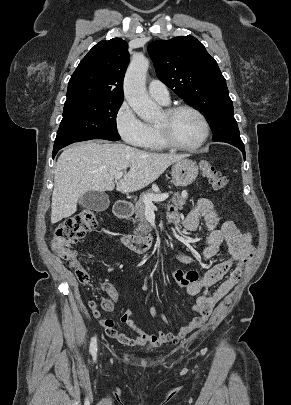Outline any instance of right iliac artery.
Instances as JSON below:
<instances>
[{"label": "right iliac artery", "instance_id": "right-iliac-artery-1", "mask_svg": "<svg viewBox=\"0 0 291 405\" xmlns=\"http://www.w3.org/2000/svg\"><path fill=\"white\" fill-rule=\"evenodd\" d=\"M90 352L93 356L96 355L97 352V340L96 337H93L90 343Z\"/></svg>", "mask_w": 291, "mask_h": 405}]
</instances>
